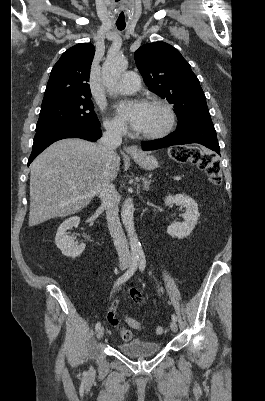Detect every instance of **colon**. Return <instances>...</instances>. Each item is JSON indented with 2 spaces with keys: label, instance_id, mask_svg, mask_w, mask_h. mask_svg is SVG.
<instances>
[{
  "label": "colon",
  "instance_id": "obj_1",
  "mask_svg": "<svg viewBox=\"0 0 265 401\" xmlns=\"http://www.w3.org/2000/svg\"><path fill=\"white\" fill-rule=\"evenodd\" d=\"M168 154L170 158L177 162H193L198 168L205 171L211 184H220L222 179L221 166L212 153L203 151L197 147L177 146L171 148ZM108 319L112 323H116L115 317L112 314H108ZM125 320L130 326L134 328L139 327V322L135 319L126 316ZM129 331L128 329H121V336L127 338L129 336ZM155 332L158 335H162L164 333V328L162 326H157Z\"/></svg>",
  "mask_w": 265,
  "mask_h": 401
}]
</instances>
